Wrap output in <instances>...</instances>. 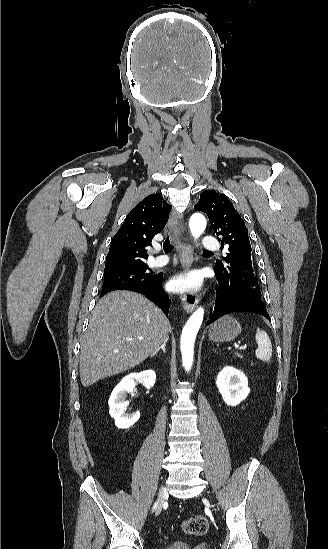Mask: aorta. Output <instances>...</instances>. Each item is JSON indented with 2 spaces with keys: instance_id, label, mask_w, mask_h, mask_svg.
Returning a JSON list of instances; mask_svg holds the SVG:
<instances>
[{
  "instance_id": "1",
  "label": "aorta",
  "mask_w": 328,
  "mask_h": 549,
  "mask_svg": "<svg viewBox=\"0 0 328 549\" xmlns=\"http://www.w3.org/2000/svg\"><path fill=\"white\" fill-rule=\"evenodd\" d=\"M206 219L200 213H195L191 216L189 221V227L192 236L197 239L206 228ZM204 317V309L198 308L188 319L185 324L180 341V349L182 354V364L186 371L191 370L194 357V342L197 333L200 329Z\"/></svg>"
}]
</instances>
